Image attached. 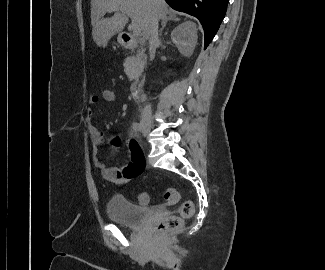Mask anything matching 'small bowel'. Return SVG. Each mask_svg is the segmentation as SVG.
Listing matches in <instances>:
<instances>
[{"mask_svg":"<svg viewBox=\"0 0 325 270\" xmlns=\"http://www.w3.org/2000/svg\"><path fill=\"white\" fill-rule=\"evenodd\" d=\"M99 100L100 98L97 95H91L89 97L90 104H96ZM86 126L93 145V162L96 167L99 168L102 177L106 181L116 185H124L142 173L145 163L141 157L140 151L132 141L128 142V155L132 162L130 164H121L118 166L109 165L103 161L99 154V147L105 142V135L96 127L94 112L91 109L87 111ZM110 142L113 148H116L120 144V138L117 136L111 137Z\"/></svg>","mask_w":325,"mask_h":270,"instance_id":"obj_1","label":"small bowel"}]
</instances>
